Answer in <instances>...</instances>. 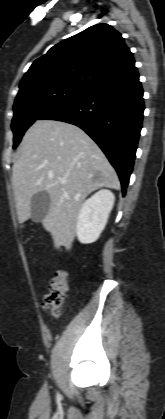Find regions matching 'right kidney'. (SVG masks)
I'll list each match as a JSON object with an SVG mask.
<instances>
[{
  "instance_id": "right-kidney-1",
  "label": "right kidney",
  "mask_w": 165,
  "mask_h": 419,
  "mask_svg": "<svg viewBox=\"0 0 165 419\" xmlns=\"http://www.w3.org/2000/svg\"><path fill=\"white\" fill-rule=\"evenodd\" d=\"M114 202L115 196L110 190H100L83 203L76 224V234L80 243H93L99 238Z\"/></svg>"
}]
</instances>
